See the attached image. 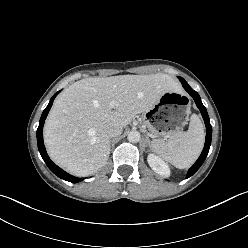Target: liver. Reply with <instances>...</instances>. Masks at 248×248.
<instances>
[{
	"label": "liver",
	"instance_id": "1",
	"mask_svg": "<svg viewBox=\"0 0 248 248\" xmlns=\"http://www.w3.org/2000/svg\"><path fill=\"white\" fill-rule=\"evenodd\" d=\"M178 90V83L164 73L89 77L73 83L57 97L44 126L50 158L73 175L95 173L110 154L107 127L127 126L165 92Z\"/></svg>",
	"mask_w": 248,
	"mask_h": 248
}]
</instances>
